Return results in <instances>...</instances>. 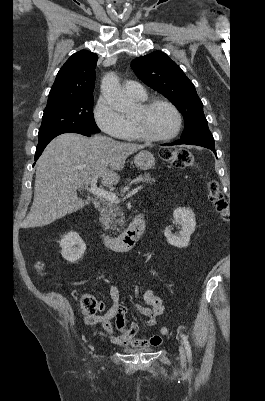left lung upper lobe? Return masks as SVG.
Here are the masks:
<instances>
[{
	"label": "left lung upper lobe",
	"instance_id": "5c2ea615",
	"mask_svg": "<svg viewBox=\"0 0 265 401\" xmlns=\"http://www.w3.org/2000/svg\"><path fill=\"white\" fill-rule=\"evenodd\" d=\"M131 68L139 79L168 98L181 112L185 121L181 138L209 131L194 84L165 53L155 51L138 57L131 62Z\"/></svg>",
	"mask_w": 265,
	"mask_h": 401
}]
</instances>
